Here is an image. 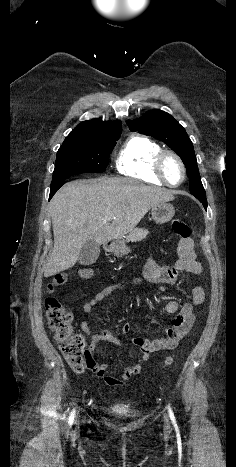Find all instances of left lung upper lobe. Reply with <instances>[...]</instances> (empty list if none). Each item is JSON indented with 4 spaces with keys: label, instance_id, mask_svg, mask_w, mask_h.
Here are the masks:
<instances>
[{
    "label": "left lung upper lobe",
    "instance_id": "1",
    "mask_svg": "<svg viewBox=\"0 0 236 467\" xmlns=\"http://www.w3.org/2000/svg\"><path fill=\"white\" fill-rule=\"evenodd\" d=\"M130 130L153 136L165 142L182 159L193 195H206L198 171L193 144L185 129L168 113L161 110L148 111L143 117L127 121Z\"/></svg>",
    "mask_w": 236,
    "mask_h": 467
}]
</instances>
